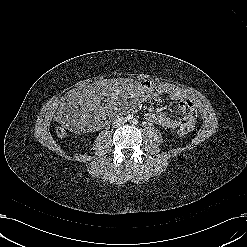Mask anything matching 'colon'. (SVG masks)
Instances as JSON below:
<instances>
[{
	"label": "colon",
	"mask_w": 247,
	"mask_h": 247,
	"mask_svg": "<svg viewBox=\"0 0 247 247\" xmlns=\"http://www.w3.org/2000/svg\"><path fill=\"white\" fill-rule=\"evenodd\" d=\"M146 86L151 99H159L163 96V91L161 90V87L159 85L148 83ZM189 131L190 130L187 127H181L180 129H178L177 134L180 137H184L188 134ZM56 134L60 138H65L68 135V131L64 126L59 125L56 128Z\"/></svg>",
	"instance_id": "colon-1"
}]
</instances>
